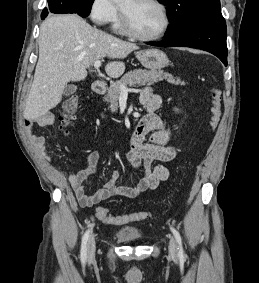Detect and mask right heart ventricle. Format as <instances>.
<instances>
[{"instance_id": "1", "label": "right heart ventricle", "mask_w": 259, "mask_h": 283, "mask_svg": "<svg viewBox=\"0 0 259 283\" xmlns=\"http://www.w3.org/2000/svg\"><path fill=\"white\" fill-rule=\"evenodd\" d=\"M113 27L115 30H117L120 33H123V29L121 26V21H120V17L118 16V14L116 15V17L113 20Z\"/></svg>"}]
</instances>
